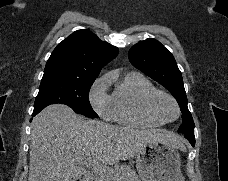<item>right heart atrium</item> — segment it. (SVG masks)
I'll use <instances>...</instances> for the list:
<instances>
[{"label": "right heart atrium", "mask_w": 228, "mask_h": 181, "mask_svg": "<svg viewBox=\"0 0 228 181\" xmlns=\"http://www.w3.org/2000/svg\"><path fill=\"white\" fill-rule=\"evenodd\" d=\"M91 102L101 118L105 120L112 118V102L111 98L103 90V81H100L95 91L92 92Z\"/></svg>", "instance_id": "1"}]
</instances>
